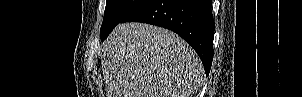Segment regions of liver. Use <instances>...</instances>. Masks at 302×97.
Returning a JSON list of instances; mask_svg holds the SVG:
<instances>
[{
	"label": "liver",
	"instance_id": "liver-1",
	"mask_svg": "<svg viewBox=\"0 0 302 97\" xmlns=\"http://www.w3.org/2000/svg\"><path fill=\"white\" fill-rule=\"evenodd\" d=\"M106 97H192L203 82L195 51L167 29L119 24L103 43Z\"/></svg>",
	"mask_w": 302,
	"mask_h": 97
}]
</instances>
